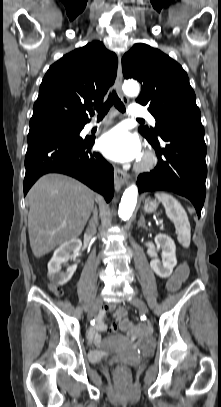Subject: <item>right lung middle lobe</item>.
I'll list each match as a JSON object with an SVG mask.
<instances>
[{"label":"right lung middle lobe","instance_id":"1","mask_svg":"<svg viewBox=\"0 0 221 407\" xmlns=\"http://www.w3.org/2000/svg\"><path fill=\"white\" fill-rule=\"evenodd\" d=\"M83 126L84 124L58 123L33 127L30 128L28 137L43 133H68L76 136L79 139H82L81 137H79V133L82 130Z\"/></svg>","mask_w":221,"mask_h":407}]
</instances>
